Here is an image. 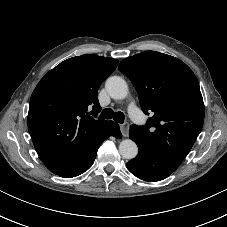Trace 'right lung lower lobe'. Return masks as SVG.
I'll list each match as a JSON object with an SVG mask.
<instances>
[{"mask_svg":"<svg viewBox=\"0 0 227 227\" xmlns=\"http://www.w3.org/2000/svg\"><path fill=\"white\" fill-rule=\"evenodd\" d=\"M120 134L119 125L112 123L109 129L102 135V137L96 142V144L86 153L77 163L66 171L58 174L60 177L71 178L78 176L85 171H87L93 164L98 148L102 142L107 139L109 136H116Z\"/></svg>","mask_w":227,"mask_h":227,"instance_id":"obj_1","label":"right lung lower lobe"}]
</instances>
